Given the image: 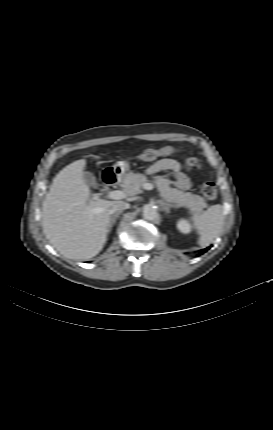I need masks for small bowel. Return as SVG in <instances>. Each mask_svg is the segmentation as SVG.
I'll return each instance as SVG.
<instances>
[{
	"instance_id": "1",
	"label": "small bowel",
	"mask_w": 273,
	"mask_h": 430,
	"mask_svg": "<svg viewBox=\"0 0 273 430\" xmlns=\"http://www.w3.org/2000/svg\"><path fill=\"white\" fill-rule=\"evenodd\" d=\"M160 172H170L174 178L176 187L179 189L187 190L191 186L190 177L181 171L180 164L174 159H160L147 169L148 174H156Z\"/></svg>"
}]
</instances>
